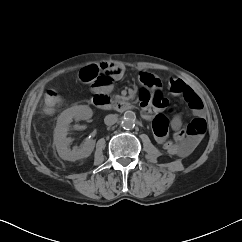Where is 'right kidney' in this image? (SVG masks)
Returning <instances> with one entry per match:
<instances>
[{"mask_svg":"<svg viewBox=\"0 0 242 242\" xmlns=\"http://www.w3.org/2000/svg\"><path fill=\"white\" fill-rule=\"evenodd\" d=\"M92 110L87 105L73 106L64 110L58 117L54 130V145L56 146L59 156L63 160L76 161L87 158L91 155L95 147V140L86 139L81 148L71 150L68 145L71 142L67 138L70 123L74 120H86L92 117Z\"/></svg>","mask_w":242,"mask_h":242,"instance_id":"right-kidney-1","label":"right kidney"}]
</instances>
